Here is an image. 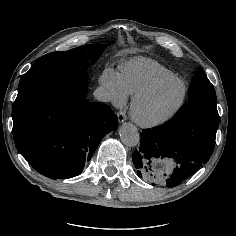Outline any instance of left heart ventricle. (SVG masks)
Masks as SVG:
<instances>
[{"instance_id": "b2bd125f", "label": "left heart ventricle", "mask_w": 236, "mask_h": 236, "mask_svg": "<svg viewBox=\"0 0 236 236\" xmlns=\"http://www.w3.org/2000/svg\"><path fill=\"white\" fill-rule=\"evenodd\" d=\"M181 93L182 85L179 82L166 84L141 101L139 112L147 119L160 117L176 104Z\"/></svg>"}]
</instances>
